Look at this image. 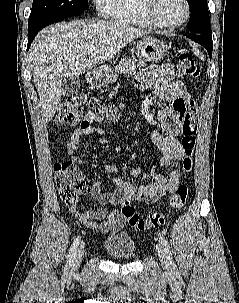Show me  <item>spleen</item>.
I'll list each match as a JSON object with an SVG mask.
<instances>
[{
    "instance_id": "3e777b00",
    "label": "spleen",
    "mask_w": 239,
    "mask_h": 303,
    "mask_svg": "<svg viewBox=\"0 0 239 303\" xmlns=\"http://www.w3.org/2000/svg\"><path fill=\"white\" fill-rule=\"evenodd\" d=\"M195 55L197 56V57H199L200 59H204V56L202 55V53H200L198 50H196L195 51Z\"/></svg>"
}]
</instances>
